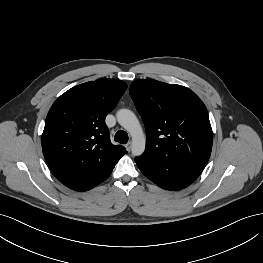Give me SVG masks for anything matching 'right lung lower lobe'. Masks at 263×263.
<instances>
[{"label":"right lung lower lobe","mask_w":263,"mask_h":263,"mask_svg":"<svg viewBox=\"0 0 263 263\" xmlns=\"http://www.w3.org/2000/svg\"><path fill=\"white\" fill-rule=\"evenodd\" d=\"M113 170V169H112ZM111 170V171H112ZM111 171L107 172L106 174L102 175L101 177H99L98 179L88 183V184H85L79 188L76 189V191H87V190H90L92 188H94L95 186H97L98 184H100L101 182H103L104 180H106L110 174H111Z\"/></svg>","instance_id":"1"}]
</instances>
